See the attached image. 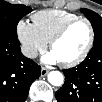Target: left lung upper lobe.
Segmentation results:
<instances>
[{"mask_svg": "<svg viewBox=\"0 0 102 102\" xmlns=\"http://www.w3.org/2000/svg\"><path fill=\"white\" fill-rule=\"evenodd\" d=\"M81 12L90 20L94 30V45L102 43V18L95 12L89 9H81Z\"/></svg>", "mask_w": 102, "mask_h": 102, "instance_id": "left-lung-upper-lobe-1", "label": "left lung upper lobe"}]
</instances>
